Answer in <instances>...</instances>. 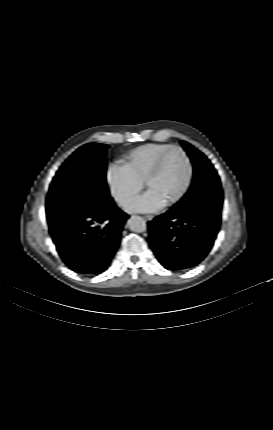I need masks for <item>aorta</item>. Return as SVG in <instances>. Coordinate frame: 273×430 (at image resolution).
<instances>
[{
    "instance_id": "aorta-1",
    "label": "aorta",
    "mask_w": 273,
    "mask_h": 430,
    "mask_svg": "<svg viewBox=\"0 0 273 430\" xmlns=\"http://www.w3.org/2000/svg\"><path fill=\"white\" fill-rule=\"evenodd\" d=\"M127 225L131 231L136 233H142L147 229L146 221L140 216H131Z\"/></svg>"
}]
</instances>
